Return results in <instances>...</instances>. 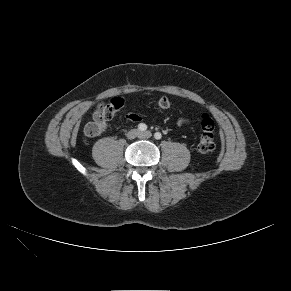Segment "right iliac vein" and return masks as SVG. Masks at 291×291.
<instances>
[{
    "label": "right iliac vein",
    "instance_id": "63e3f726",
    "mask_svg": "<svg viewBox=\"0 0 291 291\" xmlns=\"http://www.w3.org/2000/svg\"><path fill=\"white\" fill-rule=\"evenodd\" d=\"M139 131L137 129H132L127 133V138L132 140L134 138H136L137 136H139Z\"/></svg>",
    "mask_w": 291,
    "mask_h": 291
}]
</instances>
